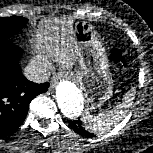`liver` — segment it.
I'll list each match as a JSON object with an SVG mask.
<instances>
[{"instance_id":"6515ba94","label":"liver","mask_w":153,"mask_h":153,"mask_svg":"<svg viewBox=\"0 0 153 153\" xmlns=\"http://www.w3.org/2000/svg\"><path fill=\"white\" fill-rule=\"evenodd\" d=\"M37 38V49L46 48L64 67H72L77 60L73 35V20H56L47 25Z\"/></svg>"}]
</instances>
